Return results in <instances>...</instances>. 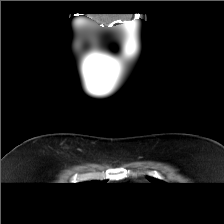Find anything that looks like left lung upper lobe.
Returning a JSON list of instances; mask_svg holds the SVG:
<instances>
[{
	"instance_id": "5c2ea615",
	"label": "left lung upper lobe",
	"mask_w": 224,
	"mask_h": 224,
	"mask_svg": "<svg viewBox=\"0 0 224 224\" xmlns=\"http://www.w3.org/2000/svg\"><path fill=\"white\" fill-rule=\"evenodd\" d=\"M148 178V180L149 181H151V183H160L161 181L160 180H158V179H155V178H153V177H147Z\"/></svg>"
}]
</instances>
